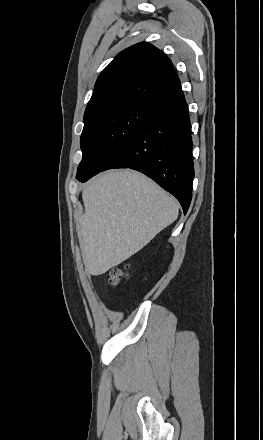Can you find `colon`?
<instances>
[{
  "label": "colon",
  "instance_id": "obj_1",
  "mask_svg": "<svg viewBox=\"0 0 263 440\" xmlns=\"http://www.w3.org/2000/svg\"><path fill=\"white\" fill-rule=\"evenodd\" d=\"M129 275L126 271V266H115L109 272V284L116 286L122 281L128 279Z\"/></svg>",
  "mask_w": 263,
  "mask_h": 440
}]
</instances>
